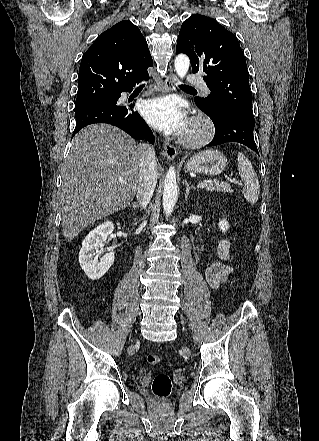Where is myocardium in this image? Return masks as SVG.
Here are the masks:
<instances>
[{"instance_id":"f54148a6","label":"myocardium","mask_w":319,"mask_h":441,"mask_svg":"<svg viewBox=\"0 0 319 441\" xmlns=\"http://www.w3.org/2000/svg\"><path fill=\"white\" fill-rule=\"evenodd\" d=\"M214 124L206 116L196 117L182 138L187 147H199L209 142L214 135Z\"/></svg>"}]
</instances>
